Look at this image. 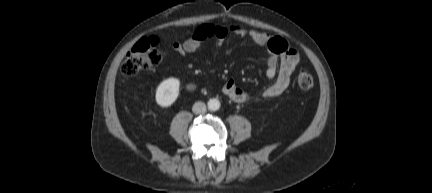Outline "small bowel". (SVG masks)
Returning a JSON list of instances; mask_svg holds the SVG:
<instances>
[{"instance_id": "c3829d8e", "label": "small bowel", "mask_w": 432, "mask_h": 193, "mask_svg": "<svg viewBox=\"0 0 432 193\" xmlns=\"http://www.w3.org/2000/svg\"><path fill=\"white\" fill-rule=\"evenodd\" d=\"M230 31L241 38L249 37L256 44L265 48L268 55L266 76L272 83L263 90L262 96L271 98L281 95L288 88L290 77L300 61L298 51L290 47L285 39L266 32L247 30L242 26H231ZM227 33V29L220 26L202 25L190 38L184 42H174L172 47L177 54L184 56L194 53L206 39L212 38L217 44H220ZM194 88L193 84L188 85L189 90ZM222 91L224 95L238 103L250 99V94L238 87L233 80H228Z\"/></svg>"}]
</instances>
